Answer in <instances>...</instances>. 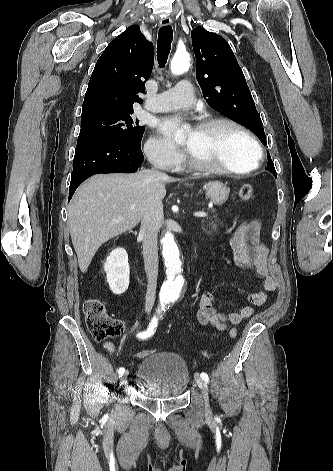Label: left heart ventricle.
Listing matches in <instances>:
<instances>
[{"instance_id":"obj_1","label":"left heart ventricle","mask_w":333,"mask_h":471,"mask_svg":"<svg viewBox=\"0 0 333 471\" xmlns=\"http://www.w3.org/2000/svg\"><path fill=\"white\" fill-rule=\"evenodd\" d=\"M186 145L192 154L235 170L247 169L256 160V151L250 140L226 124L208 130H192L186 138Z\"/></svg>"}]
</instances>
